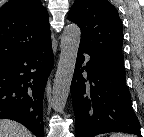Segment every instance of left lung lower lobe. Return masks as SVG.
Listing matches in <instances>:
<instances>
[{"label": "left lung lower lobe", "instance_id": "0a47b994", "mask_svg": "<svg viewBox=\"0 0 144 137\" xmlns=\"http://www.w3.org/2000/svg\"><path fill=\"white\" fill-rule=\"evenodd\" d=\"M86 55L87 64L82 66ZM84 70L88 73L89 82L82 76ZM70 90L77 137H93L107 132L141 137L123 65L94 55L80 45Z\"/></svg>", "mask_w": 144, "mask_h": 137}]
</instances>
